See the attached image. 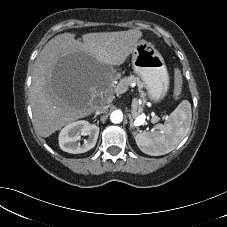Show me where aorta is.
I'll return each instance as SVG.
<instances>
[{"label":"aorta","mask_w":227,"mask_h":227,"mask_svg":"<svg viewBox=\"0 0 227 227\" xmlns=\"http://www.w3.org/2000/svg\"><path fill=\"white\" fill-rule=\"evenodd\" d=\"M110 121L114 124H119L123 121V113L120 110H115L110 114Z\"/></svg>","instance_id":"aorta-1"}]
</instances>
